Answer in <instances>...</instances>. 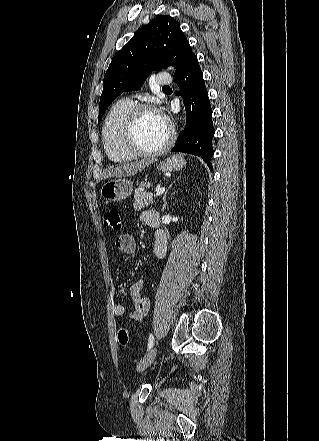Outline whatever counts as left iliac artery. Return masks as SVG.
Wrapping results in <instances>:
<instances>
[{"instance_id": "1", "label": "left iliac artery", "mask_w": 319, "mask_h": 441, "mask_svg": "<svg viewBox=\"0 0 319 441\" xmlns=\"http://www.w3.org/2000/svg\"><path fill=\"white\" fill-rule=\"evenodd\" d=\"M154 345V336L152 334L149 335V340H148V350H150Z\"/></svg>"}]
</instances>
